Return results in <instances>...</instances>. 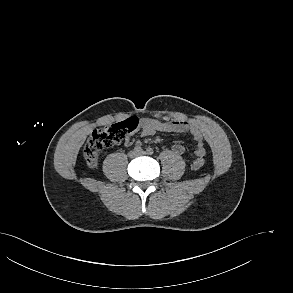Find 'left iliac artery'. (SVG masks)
Returning a JSON list of instances; mask_svg holds the SVG:
<instances>
[{"label":"left iliac artery","instance_id":"left-iliac-artery-1","mask_svg":"<svg viewBox=\"0 0 293 293\" xmlns=\"http://www.w3.org/2000/svg\"><path fill=\"white\" fill-rule=\"evenodd\" d=\"M146 153H147L148 155H152V154L154 153V150H153L151 147H148V148L146 149Z\"/></svg>","mask_w":293,"mask_h":293}]
</instances>
